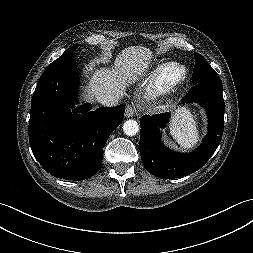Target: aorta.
I'll return each mask as SVG.
<instances>
[{
	"instance_id": "aorta-1",
	"label": "aorta",
	"mask_w": 253,
	"mask_h": 253,
	"mask_svg": "<svg viewBox=\"0 0 253 253\" xmlns=\"http://www.w3.org/2000/svg\"><path fill=\"white\" fill-rule=\"evenodd\" d=\"M123 131L128 136H134L139 131V124L135 120H127L123 124Z\"/></svg>"
}]
</instances>
